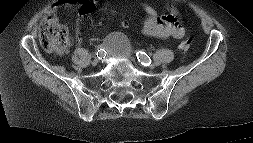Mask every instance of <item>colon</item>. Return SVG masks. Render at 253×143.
<instances>
[{
	"label": "colon",
	"mask_w": 253,
	"mask_h": 143,
	"mask_svg": "<svg viewBox=\"0 0 253 143\" xmlns=\"http://www.w3.org/2000/svg\"><path fill=\"white\" fill-rule=\"evenodd\" d=\"M39 41L42 48L48 52L64 53L69 44L67 28L52 21H46L40 29ZM191 46V39H185L180 43V50L186 53Z\"/></svg>",
	"instance_id": "5ec220e1"
}]
</instances>
